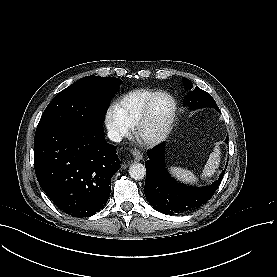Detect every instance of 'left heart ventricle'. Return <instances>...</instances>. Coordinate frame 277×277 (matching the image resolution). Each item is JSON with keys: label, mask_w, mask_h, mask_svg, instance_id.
Wrapping results in <instances>:
<instances>
[{"label": "left heart ventricle", "mask_w": 277, "mask_h": 277, "mask_svg": "<svg viewBox=\"0 0 277 277\" xmlns=\"http://www.w3.org/2000/svg\"><path fill=\"white\" fill-rule=\"evenodd\" d=\"M171 111V103L163 96H159L154 101L149 120L145 126V134L152 135L157 133L169 117Z\"/></svg>", "instance_id": "b2bd125f"}]
</instances>
